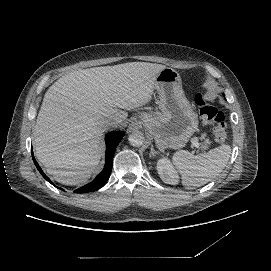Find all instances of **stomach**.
Listing matches in <instances>:
<instances>
[{"label":"stomach","mask_w":271,"mask_h":271,"mask_svg":"<svg viewBox=\"0 0 271 271\" xmlns=\"http://www.w3.org/2000/svg\"><path fill=\"white\" fill-rule=\"evenodd\" d=\"M162 112L144 111L137 118L154 138L157 150L184 147L198 128L197 115L186 100L180 75L171 68L162 70L154 80Z\"/></svg>","instance_id":"obj_1"}]
</instances>
